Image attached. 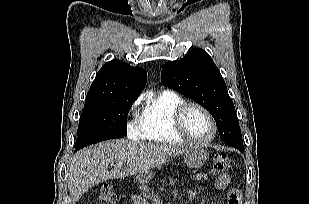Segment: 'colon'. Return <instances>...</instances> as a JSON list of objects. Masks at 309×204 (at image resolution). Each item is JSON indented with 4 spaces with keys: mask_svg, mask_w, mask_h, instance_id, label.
Instances as JSON below:
<instances>
[{
    "mask_svg": "<svg viewBox=\"0 0 309 204\" xmlns=\"http://www.w3.org/2000/svg\"><path fill=\"white\" fill-rule=\"evenodd\" d=\"M232 167L231 159L225 153L217 154L212 163V172L214 174H224ZM119 195L112 184H105L102 186L99 193V201L101 204H114L118 201ZM229 204H239L240 197L234 195L228 201Z\"/></svg>",
    "mask_w": 309,
    "mask_h": 204,
    "instance_id": "5ec220e1",
    "label": "colon"
}]
</instances>
